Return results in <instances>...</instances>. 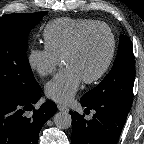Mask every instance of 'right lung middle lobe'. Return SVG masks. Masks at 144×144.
Masks as SVG:
<instances>
[{
  "instance_id": "dd1d6c3e",
  "label": "right lung middle lobe",
  "mask_w": 144,
  "mask_h": 144,
  "mask_svg": "<svg viewBox=\"0 0 144 144\" xmlns=\"http://www.w3.org/2000/svg\"><path fill=\"white\" fill-rule=\"evenodd\" d=\"M46 14H6L0 18V96L25 95L39 87L26 50L29 32Z\"/></svg>"
}]
</instances>
